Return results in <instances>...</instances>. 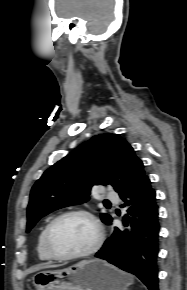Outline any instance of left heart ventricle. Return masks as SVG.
I'll return each instance as SVG.
<instances>
[{
	"label": "left heart ventricle",
	"instance_id": "obj_1",
	"mask_svg": "<svg viewBox=\"0 0 187 290\" xmlns=\"http://www.w3.org/2000/svg\"><path fill=\"white\" fill-rule=\"evenodd\" d=\"M95 240V231L90 221L78 215L60 220L52 232L54 249L61 254H74L89 249Z\"/></svg>",
	"mask_w": 187,
	"mask_h": 290
}]
</instances>
